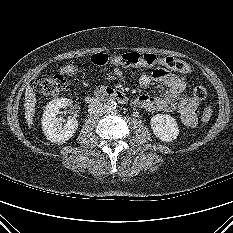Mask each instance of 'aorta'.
<instances>
[{
  "label": "aorta",
  "mask_w": 233,
  "mask_h": 233,
  "mask_svg": "<svg viewBox=\"0 0 233 233\" xmlns=\"http://www.w3.org/2000/svg\"><path fill=\"white\" fill-rule=\"evenodd\" d=\"M116 107H117V103L114 100H108L105 103V108H106L107 111L115 110Z\"/></svg>",
  "instance_id": "obj_1"
}]
</instances>
